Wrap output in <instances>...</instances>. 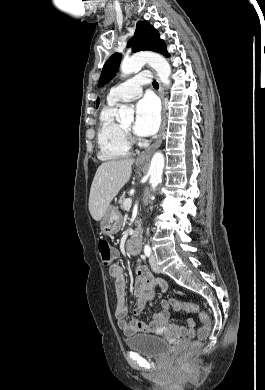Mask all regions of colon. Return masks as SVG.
<instances>
[{
  "label": "colon",
  "instance_id": "obj_1",
  "mask_svg": "<svg viewBox=\"0 0 265 390\" xmlns=\"http://www.w3.org/2000/svg\"><path fill=\"white\" fill-rule=\"evenodd\" d=\"M98 250L101 258V262L104 266H109L114 260V250L110 243L106 240H101L98 244ZM170 306L175 311H185L190 313L198 312V306L192 302H182L177 299H169ZM200 320L202 322L201 327L198 330V339L193 341L185 354L182 356V360L188 362L200 349L201 341L205 340L211 331V325L209 317L206 313H200Z\"/></svg>",
  "mask_w": 265,
  "mask_h": 390
}]
</instances>
